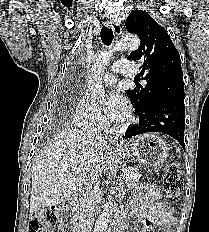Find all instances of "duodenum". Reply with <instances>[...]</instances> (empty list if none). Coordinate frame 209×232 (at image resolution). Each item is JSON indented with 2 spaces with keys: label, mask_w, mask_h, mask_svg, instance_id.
<instances>
[{
  "label": "duodenum",
  "mask_w": 209,
  "mask_h": 232,
  "mask_svg": "<svg viewBox=\"0 0 209 232\" xmlns=\"http://www.w3.org/2000/svg\"><path fill=\"white\" fill-rule=\"evenodd\" d=\"M77 205V199H72L65 205L60 225V232H79L75 217ZM114 232H120V225L114 230Z\"/></svg>",
  "instance_id": "obj_1"
}]
</instances>
